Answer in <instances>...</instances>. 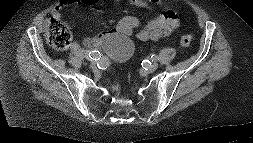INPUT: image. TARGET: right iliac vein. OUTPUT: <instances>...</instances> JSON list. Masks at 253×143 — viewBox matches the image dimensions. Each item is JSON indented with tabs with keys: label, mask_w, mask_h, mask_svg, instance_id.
<instances>
[{
	"label": "right iliac vein",
	"mask_w": 253,
	"mask_h": 143,
	"mask_svg": "<svg viewBox=\"0 0 253 143\" xmlns=\"http://www.w3.org/2000/svg\"><path fill=\"white\" fill-rule=\"evenodd\" d=\"M90 67L93 70L96 69V63L95 62H91Z\"/></svg>",
	"instance_id": "right-iliac-vein-1"
}]
</instances>
